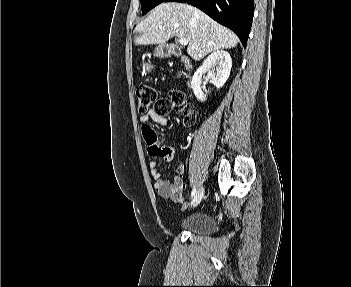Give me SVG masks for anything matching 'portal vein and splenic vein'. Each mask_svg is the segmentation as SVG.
Listing matches in <instances>:
<instances>
[{"label": "portal vein and splenic vein", "instance_id": "obj_1", "mask_svg": "<svg viewBox=\"0 0 351 287\" xmlns=\"http://www.w3.org/2000/svg\"><path fill=\"white\" fill-rule=\"evenodd\" d=\"M179 43L183 46L188 45V40L186 38H180Z\"/></svg>", "mask_w": 351, "mask_h": 287}]
</instances>
